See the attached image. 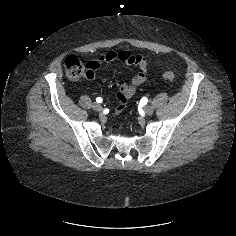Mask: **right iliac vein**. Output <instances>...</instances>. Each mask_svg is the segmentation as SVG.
<instances>
[{
    "instance_id": "right-iliac-vein-1",
    "label": "right iliac vein",
    "mask_w": 236,
    "mask_h": 236,
    "mask_svg": "<svg viewBox=\"0 0 236 236\" xmlns=\"http://www.w3.org/2000/svg\"><path fill=\"white\" fill-rule=\"evenodd\" d=\"M93 109H94L95 111H97V112H101L102 109H103V107H102V105L99 104V103H94V104H93Z\"/></svg>"
}]
</instances>
